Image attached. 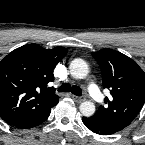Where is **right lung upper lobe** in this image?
I'll return each instance as SVG.
<instances>
[{
	"label": "right lung upper lobe",
	"instance_id": "right-lung-upper-lobe-1",
	"mask_svg": "<svg viewBox=\"0 0 145 145\" xmlns=\"http://www.w3.org/2000/svg\"><path fill=\"white\" fill-rule=\"evenodd\" d=\"M67 49H44L28 44L9 53L0 61V117L12 125L41 115L58 103L59 97L48 83L53 69Z\"/></svg>",
	"mask_w": 145,
	"mask_h": 145
}]
</instances>
